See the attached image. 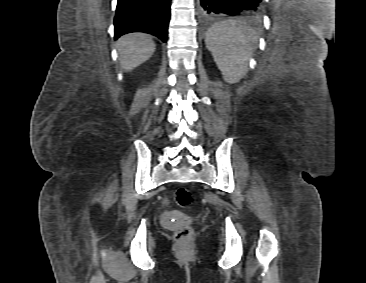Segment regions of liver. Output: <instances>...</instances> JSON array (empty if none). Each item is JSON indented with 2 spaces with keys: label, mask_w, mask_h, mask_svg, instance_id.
<instances>
[{
  "label": "liver",
  "mask_w": 366,
  "mask_h": 283,
  "mask_svg": "<svg viewBox=\"0 0 366 283\" xmlns=\"http://www.w3.org/2000/svg\"><path fill=\"white\" fill-rule=\"evenodd\" d=\"M155 42L146 33H128L117 41L119 60L125 72H129L150 59Z\"/></svg>",
  "instance_id": "6515ba94"
}]
</instances>
